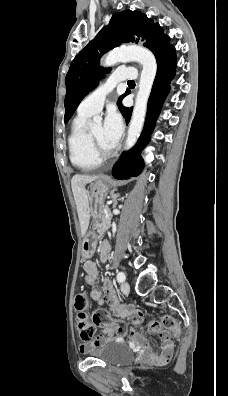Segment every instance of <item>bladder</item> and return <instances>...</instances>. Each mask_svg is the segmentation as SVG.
I'll use <instances>...</instances> for the list:
<instances>
[{
    "mask_svg": "<svg viewBox=\"0 0 228 396\" xmlns=\"http://www.w3.org/2000/svg\"><path fill=\"white\" fill-rule=\"evenodd\" d=\"M86 354L111 366L126 365L134 358L131 348L127 344L117 341H108L91 347L86 351Z\"/></svg>",
    "mask_w": 228,
    "mask_h": 396,
    "instance_id": "31cf9c89",
    "label": "bladder"
}]
</instances>
